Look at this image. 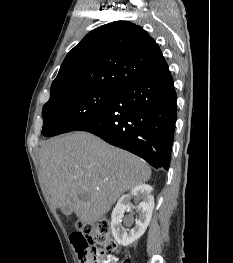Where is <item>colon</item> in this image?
Returning a JSON list of instances; mask_svg holds the SVG:
<instances>
[{
	"label": "colon",
	"instance_id": "1",
	"mask_svg": "<svg viewBox=\"0 0 233 263\" xmlns=\"http://www.w3.org/2000/svg\"><path fill=\"white\" fill-rule=\"evenodd\" d=\"M70 240L82 263H105L108 256L118 250L108 220L80 224L71 233Z\"/></svg>",
	"mask_w": 233,
	"mask_h": 263
}]
</instances>
